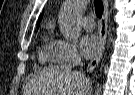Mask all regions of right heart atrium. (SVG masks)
Listing matches in <instances>:
<instances>
[{"instance_id":"right-heart-atrium-1","label":"right heart atrium","mask_w":135,"mask_h":95,"mask_svg":"<svg viewBox=\"0 0 135 95\" xmlns=\"http://www.w3.org/2000/svg\"><path fill=\"white\" fill-rule=\"evenodd\" d=\"M56 62L67 63L73 59L79 58L76 46L63 39H58L54 44Z\"/></svg>"}]
</instances>
